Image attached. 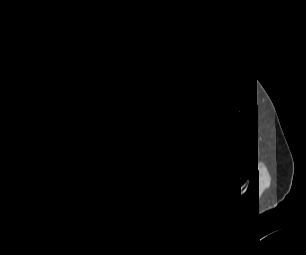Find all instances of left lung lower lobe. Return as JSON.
<instances>
[{
    "mask_svg": "<svg viewBox=\"0 0 306 255\" xmlns=\"http://www.w3.org/2000/svg\"><path fill=\"white\" fill-rule=\"evenodd\" d=\"M182 185L165 192L164 200L171 209L197 214L207 211L222 191V178L207 169H187L180 173Z\"/></svg>",
    "mask_w": 306,
    "mask_h": 255,
    "instance_id": "left-lung-lower-lobe-1",
    "label": "left lung lower lobe"
}]
</instances>
